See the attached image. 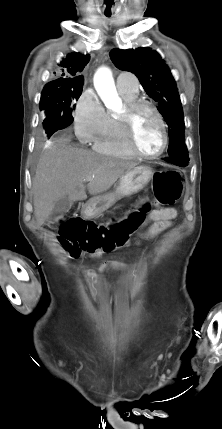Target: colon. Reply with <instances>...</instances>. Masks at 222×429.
<instances>
[{
	"mask_svg": "<svg viewBox=\"0 0 222 429\" xmlns=\"http://www.w3.org/2000/svg\"><path fill=\"white\" fill-rule=\"evenodd\" d=\"M154 189L160 203L175 204L182 194L180 174L176 171L157 172L154 176ZM148 208L145 205L141 210L133 212L125 219L105 224L86 222L79 217H71L62 223L59 241L73 257L78 256L82 251L89 253L111 251L128 241L129 236L142 224Z\"/></svg>",
	"mask_w": 222,
	"mask_h": 429,
	"instance_id": "1",
	"label": "colon"
}]
</instances>
